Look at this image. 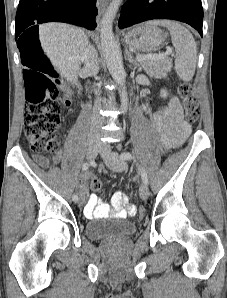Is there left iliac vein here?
Wrapping results in <instances>:
<instances>
[{
	"mask_svg": "<svg viewBox=\"0 0 227 298\" xmlns=\"http://www.w3.org/2000/svg\"><path fill=\"white\" fill-rule=\"evenodd\" d=\"M100 154L105 161L106 165L115 172H122L126 169V163L124 160L120 159L118 154L112 152L109 146H103L101 148ZM139 195L143 200H146L150 191L147 184L142 183L139 187Z\"/></svg>",
	"mask_w": 227,
	"mask_h": 298,
	"instance_id": "4c4485c4",
	"label": "left iliac vein"
}]
</instances>
